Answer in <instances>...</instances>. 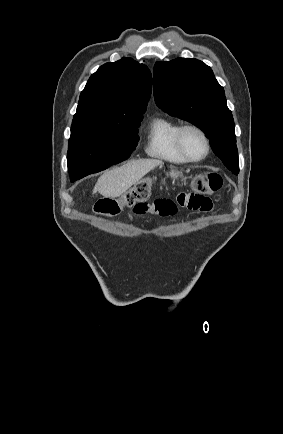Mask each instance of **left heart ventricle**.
Listing matches in <instances>:
<instances>
[{
	"mask_svg": "<svg viewBox=\"0 0 283 434\" xmlns=\"http://www.w3.org/2000/svg\"><path fill=\"white\" fill-rule=\"evenodd\" d=\"M183 145L192 157H200L205 152V143L201 135L195 130H187L183 134Z\"/></svg>",
	"mask_w": 283,
	"mask_h": 434,
	"instance_id": "obj_1",
	"label": "left heart ventricle"
}]
</instances>
